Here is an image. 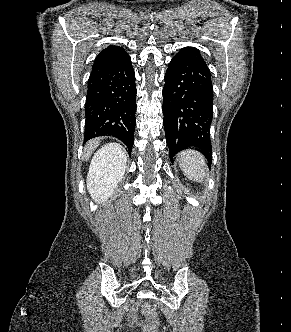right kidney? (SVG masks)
I'll return each instance as SVG.
<instances>
[{"label":"right kidney","instance_id":"1","mask_svg":"<svg viewBox=\"0 0 291 332\" xmlns=\"http://www.w3.org/2000/svg\"><path fill=\"white\" fill-rule=\"evenodd\" d=\"M125 164L126 156L118 144H107L95 153L87 175V188L95 201L104 203L113 195L123 178Z\"/></svg>","mask_w":291,"mask_h":332}]
</instances>
